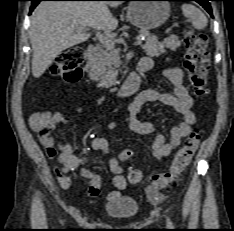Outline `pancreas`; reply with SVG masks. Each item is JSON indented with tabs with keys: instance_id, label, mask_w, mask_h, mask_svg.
<instances>
[{
	"instance_id": "pancreas-1",
	"label": "pancreas",
	"mask_w": 234,
	"mask_h": 231,
	"mask_svg": "<svg viewBox=\"0 0 234 231\" xmlns=\"http://www.w3.org/2000/svg\"><path fill=\"white\" fill-rule=\"evenodd\" d=\"M140 35L145 36V44L142 45L144 52L151 57H159L166 52V48L175 50L180 46V41L176 35H170L162 42L148 31H141ZM121 61L119 52L114 48H106L99 51L89 62V77L98 82V87L109 88L117 83L116 77Z\"/></svg>"
}]
</instances>
